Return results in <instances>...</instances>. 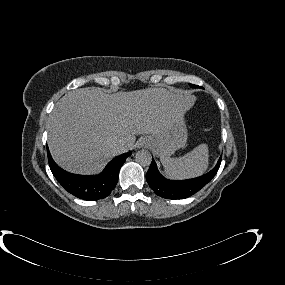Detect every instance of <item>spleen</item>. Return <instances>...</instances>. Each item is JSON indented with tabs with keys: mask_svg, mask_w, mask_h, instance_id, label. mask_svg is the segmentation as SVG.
<instances>
[{
	"mask_svg": "<svg viewBox=\"0 0 285 285\" xmlns=\"http://www.w3.org/2000/svg\"><path fill=\"white\" fill-rule=\"evenodd\" d=\"M165 174L173 179H187L205 173L209 165V150L200 144L191 152L179 158L162 157Z\"/></svg>",
	"mask_w": 285,
	"mask_h": 285,
	"instance_id": "spleen-1",
	"label": "spleen"
}]
</instances>
